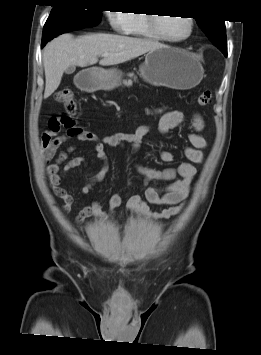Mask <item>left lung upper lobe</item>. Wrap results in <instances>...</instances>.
Here are the masks:
<instances>
[{
    "label": "left lung upper lobe",
    "instance_id": "1",
    "mask_svg": "<svg viewBox=\"0 0 261 355\" xmlns=\"http://www.w3.org/2000/svg\"><path fill=\"white\" fill-rule=\"evenodd\" d=\"M195 20L209 40L227 56L225 21L205 18H195Z\"/></svg>",
    "mask_w": 261,
    "mask_h": 355
}]
</instances>
